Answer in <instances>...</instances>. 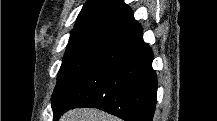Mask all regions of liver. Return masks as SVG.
Masks as SVG:
<instances>
[{"label": "liver", "instance_id": "liver-1", "mask_svg": "<svg viewBox=\"0 0 217 121\" xmlns=\"http://www.w3.org/2000/svg\"><path fill=\"white\" fill-rule=\"evenodd\" d=\"M61 121H120L119 118L113 117L107 113L96 109H75L66 112L61 118Z\"/></svg>", "mask_w": 217, "mask_h": 121}]
</instances>
